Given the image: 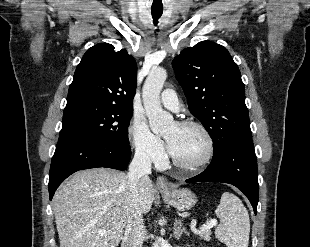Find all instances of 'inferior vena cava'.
<instances>
[{"label":"inferior vena cava","mask_w":310,"mask_h":247,"mask_svg":"<svg viewBox=\"0 0 310 247\" xmlns=\"http://www.w3.org/2000/svg\"><path fill=\"white\" fill-rule=\"evenodd\" d=\"M151 164V154L137 148L126 176L129 185V212L123 238L126 247L142 246L144 223L140 201L143 184L151 174Z\"/></svg>","instance_id":"inferior-vena-cava-1"}]
</instances>
